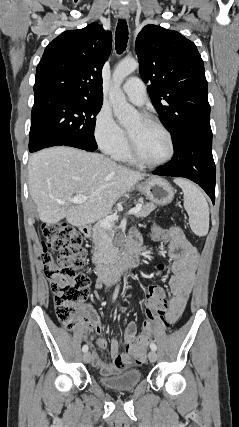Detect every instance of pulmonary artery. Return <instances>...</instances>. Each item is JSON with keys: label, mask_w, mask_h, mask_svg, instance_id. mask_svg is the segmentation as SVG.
Masks as SVG:
<instances>
[{"label": "pulmonary artery", "mask_w": 239, "mask_h": 427, "mask_svg": "<svg viewBox=\"0 0 239 427\" xmlns=\"http://www.w3.org/2000/svg\"><path fill=\"white\" fill-rule=\"evenodd\" d=\"M128 99L136 105H143L147 99L144 83L137 77L128 79L122 86Z\"/></svg>", "instance_id": "e3ab8cb5"}]
</instances>
